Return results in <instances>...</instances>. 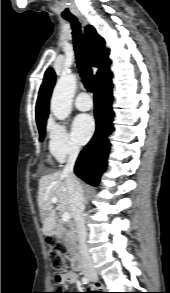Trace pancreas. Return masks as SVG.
Masks as SVG:
<instances>
[{"label": "pancreas", "mask_w": 170, "mask_h": 293, "mask_svg": "<svg viewBox=\"0 0 170 293\" xmlns=\"http://www.w3.org/2000/svg\"><path fill=\"white\" fill-rule=\"evenodd\" d=\"M55 232L57 238L64 242V244L67 246V248H69V251L72 254H75L77 246V236L74 226L72 224L64 226V224L61 223L59 224Z\"/></svg>", "instance_id": "cf45deb5"}]
</instances>
